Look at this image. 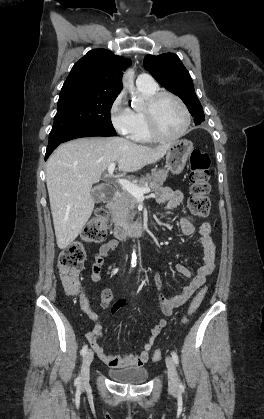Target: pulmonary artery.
<instances>
[{
  "instance_id": "e3ab8cb5",
  "label": "pulmonary artery",
  "mask_w": 264,
  "mask_h": 419,
  "mask_svg": "<svg viewBox=\"0 0 264 419\" xmlns=\"http://www.w3.org/2000/svg\"><path fill=\"white\" fill-rule=\"evenodd\" d=\"M136 84L138 87H146V88H151L156 86V83L154 81V79L152 78V76H150L149 74H140L137 79H136Z\"/></svg>"
}]
</instances>
